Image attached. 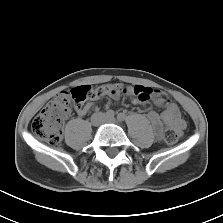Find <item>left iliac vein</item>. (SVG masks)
<instances>
[{
    "label": "left iliac vein",
    "mask_w": 223,
    "mask_h": 223,
    "mask_svg": "<svg viewBox=\"0 0 223 223\" xmlns=\"http://www.w3.org/2000/svg\"><path fill=\"white\" fill-rule=\"evenodd\" d=\"M105 122H107V123H113V124H118V121L114 117L107 118L105 120Z\"/></svg>",
    "instance_id": "4c4485c4"
}]
</instances>
